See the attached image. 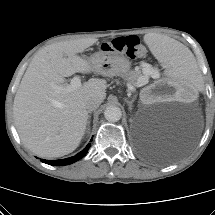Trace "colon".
<instances>
[{
    "mask_svg": "<svg viewBox=\"0 0 215 215\" xmlns=\"http://www.w3.org/2000/svg\"><path fill=\"white\" fill-rule=\"evenodd\" d=\"M102 49L107 52L124 53L132 59L142 58L146 54L145 47L135 35L114 38L104 43Z\"/></svg>",
    "mask_w": 215,
    "mask_h": 215,
    "instance_id": "colon-1",
    "label": "colon"
}]
</instances>
